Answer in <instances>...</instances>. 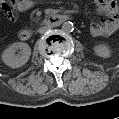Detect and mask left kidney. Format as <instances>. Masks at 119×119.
Returning a JSON list of instances; mask_svg holds the SVG:
<instances>
[{
	"label": "left kidney",
	"mask_w": 119,
	"mask_h": 119,
	"mask_svg": "<svg viewBox=\"0 0 119 119\" xmlns=\"http://www.w3.org/2000/svg\"><path fill=\"white\" fill-rule=\"evenodd\" d=\"M94 52L97 56L102 58H109L111 55V51L108 46L105 44H98L94 47Z\"/></svg>",
	"instance_id": "obj_1"
}]
</instances>
